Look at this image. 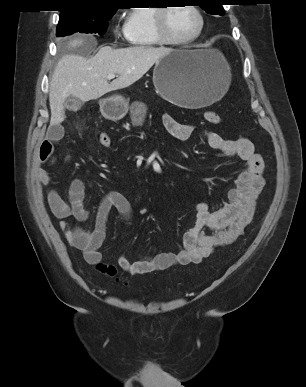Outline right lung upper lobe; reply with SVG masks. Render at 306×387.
Here are the masks:
<instances>
[{
    "mask_svg": "<svg viewBox=\"0 0 306 387\" xmlns=\"http://www.w3.org/2000/svg\"><path fill=\"white\" fill-rule=\"evenodd\" d=\"M61 13L69 12H98L102 10H117L116 0H64Z\"/></svg>",
    "mask_w": 306,
    "mask_h": 387,
    "instance_id": "cb5924a9",
    "label": "right lung upper lobe"
}]
</instances>
